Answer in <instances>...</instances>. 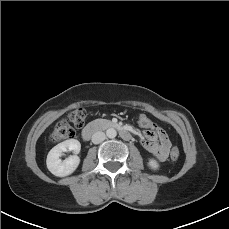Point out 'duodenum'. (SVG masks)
I'll list each match as a JSON object with an SVG mask.
<instances>
[{
  "instance_id": "duodenum-1",
  "label": "duodenum",
  "mask_w": 229,
  "mask_h": 229,
  "mask_svg": "<svg viewBox=\"0 0 229 229\" xmlns=\"http://www.w3.org/2000/svg\"><path fill=\"white\" fill-rule=\"evenodd\" d=\"M99 124H89L82 130V137L85 140H89L95 133H97L100 130ZM108 128L117 129L120 132V135L125 140L131 139V134L128 132V130L122 126H120L117 123L111 122L107 124Z\"/></svg>"
}]
</instances>
